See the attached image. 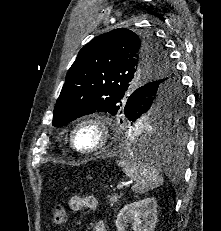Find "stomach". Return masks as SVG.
<instances>
[{
	"label": "stomach",
	"instance_id": "obj_1",
	"mask_svg": "<svg viewBox=\"0 0 221 231\" xmlns=\"http://www.w3.org/2000/svg\"><path fill=\"white\" fill-rule=\"evenodd\" d=\"M138 128L140 129V131H145L147 127L146 125H138ZM131 130L134 131L135 127H133Z\"/></svg>",
	"mask_w": 221,
	"mask_h": 231
}]
</instances>
